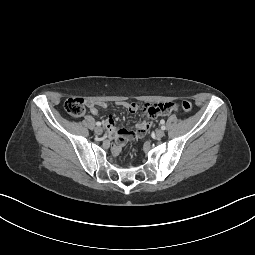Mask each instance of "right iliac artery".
Wrapping results in <instances>:
<instances>
[{
	"label": "right iliac artery",
	"instance_id": "obj_1",
	"mask_svg": "<svg viewBox=\"0 0 255 255\" xmlns=\"http://www.w3.org/2000/svg\"><path fill=\"white\" fill-rule=\"evenodd\" d=\"M96 125H97V126H100V125H101V123H100V122H96Z\"/></svg>",
	"mask_w": 255,
	"mask_h": 255
}]
</instances>
